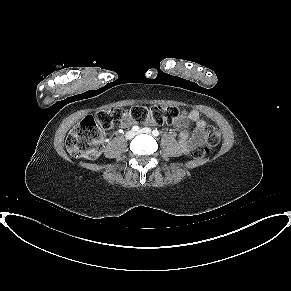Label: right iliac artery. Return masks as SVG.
Segmentation results:
<instances>
[{
    "label": "right iliac artery",
    "mask_w": 291,
    "mask_h": 291,
    "mask_svg": "<svg viewBox=\"0 0 291 291\" xmlns=\"http://www.w3.org/2000/svg\"><path fill=\"white\" fill-rule=\"evenodd\" d=\"M132 130H133V131H138V130H139V127H138V126H133V127H132Z\"/></svg>",
    "instance_id": "right-iliac-artery-1"
}]
</instances>
